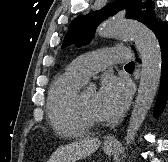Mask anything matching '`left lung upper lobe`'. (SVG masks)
<instances>
[{
  "mask_svg": "<svg viewBox=\"0 0 168 162\" xmlns=\"http://www.w3.org/2000/svg\"><path fill=\"white\" fill-rule=\"evenodd\" d=\"M122 9H126L127 18L138 20L146 26L158 20L152 0H117L101 10L75 18L69 25L62 48L71 44H76L77 47L88 44L98 24Z\"/></svg>",
  "mask_w": 168,
  "mask_h": 162,
  "instance_id": "5c2ea615",
  "label": "left lung upper lobe"
}]
</instances>
